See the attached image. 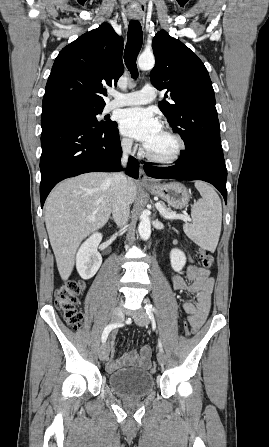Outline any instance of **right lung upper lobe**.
<instances>
[{"label": "right lung upper lobe", "instance_id": "right-lung-upper-lobe-1", "mask_svg": "<svg viewBox=\"0 0 269 447\" xmlns=\"http://www.w3.org/2000/svg\"><path fill=\"white\" fill-rule=\"evenodd\" d=\"M123 39L103 23L64 47L48 78L42 111L74 105H105V86L123 74Z\"/></svg>", "mask_w": 269, "mask_h": 447}]
</instances>
